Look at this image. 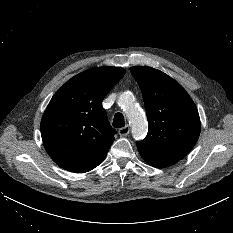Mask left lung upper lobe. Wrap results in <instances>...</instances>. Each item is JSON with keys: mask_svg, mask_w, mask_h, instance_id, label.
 Here are the masks:
<instances>
[{"mask_svg": "<svg viewBox=\"0 0 233 233\" xmlns=\"http://www.w3.org/2000/svg\"><path fill=\"white\" fill-rule=\"evenodd\" d=\"M141 89L149 130L138 150L180 160L194 147L200 134L198 110L184 88L160 70L131 67Z\"/></svg>", "mask_w": 233, "mask_h": 233, "instance_id": "left-lung-upper-lobe-1", "label": "left lung upper lobe"}]
</instances>
